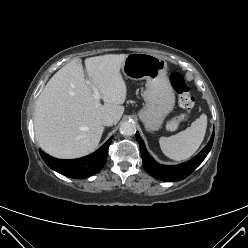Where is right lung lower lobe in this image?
I'll use <instances>...</instances> for the list:
<instances>
[{"label": "right lung lower lobe", "mask_w": 248, "mask_h": 248, "mask_svg": "<svg viewBox=\"0 0 248 248\" xmlns=\"http://www.w3.org/2000/svg\"><path fill=\"white\" fill-rule=\"evenodd\" d=\"M112 137L96 152L78 159H56L40 151L44 162L53 170L70 178H85L99 172L104 166Z\"/></svg>", "instance_id": "1"}]
</instances>
